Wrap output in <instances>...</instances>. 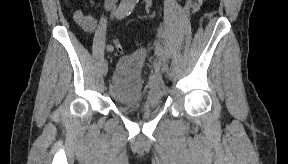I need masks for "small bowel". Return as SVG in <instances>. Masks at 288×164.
Masks as SVG:
<instances>
[{"instance_id":"1","label":"small bowel","mask_w":288,"mask_h":164,"mask_svg":"<svg viewBox=\"0 0 288 164\" xmlns=\"http://www.w3.org/2000/svg\"><path fill=\"white\" fill-rule=\"evenodd\" d=\"M113 7V2L109 1L106 3V8L111 9ZM76 15H84L86 19V24L83 26L86 30L91 31L95 26V18L92 15L84 14L81 10H77L74 13Z\"/></svg>"}]
</instances>
